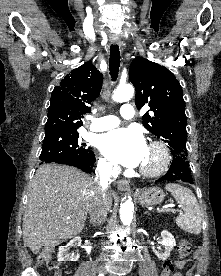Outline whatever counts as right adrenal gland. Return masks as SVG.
I'll return each instance as SVG.
<instances>
[{
  "mask_svg": "<svg viewBox=\"0 0 221 276\" xmlns=\"http://www.w3.org/2000/svg\"><path fill=\"white\" fill-rule=\"evenodd\" d=\"M90 224L95 227V226H98L97 224H94L92 221H90Z\"/></svg>",
  "mask_w": 221,
  "mask_h": 276,
  "instance_id": "right-adrenal-gland-1",
  "label": "right adrenal gland"
}]
</instances>
